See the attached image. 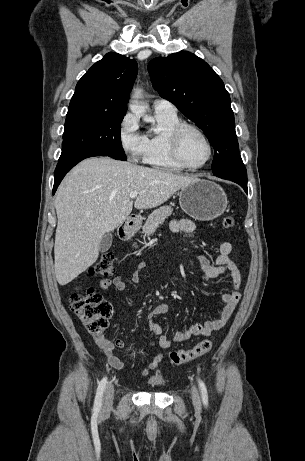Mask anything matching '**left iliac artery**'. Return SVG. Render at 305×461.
<instances>
[{
    "label": "left iliac artery",
    "mask_w": 305,
    "mask_h": 461,
    "mask_svg": "<svg viewBox=\"0 0 305 461\" xmlns=\"http://www.w3.org/2000/svg\"><path fill=\"white\" fill-rule=\"evenodd\" d=\"M198 383H199V388H200V391H201V396H202L203 403H204L205 406H208L207 388H206L204 382L201 379H198Z\"/></svg>",
    "instance_id": "left-iliac-artery-1"
}]
</instances>
